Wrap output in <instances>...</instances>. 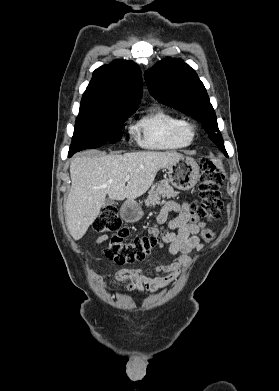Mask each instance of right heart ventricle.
Segmentation results:
<instances>
[{
  "instance_id": "obj_1",
  "label": "right heart ventricle",
  "mask_w": 279,
  "mask_h": 391,
  "mask_svg": "<svg viewBox=\"0 0 279 391\" xmlns=\"http://www.w3.org/2000/svg\"><path fill=\"white\" fill-rule=\"evenodd\" d=\"M184 120L161 107H154L133 126L140 146L152 150H178L190 145Z\"/></svg>"
}]
</instances>
